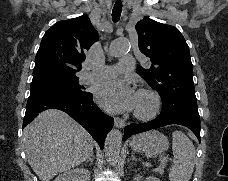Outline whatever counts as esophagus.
<instances>
[{
  "mask_svg": "<svg viewBox=\"0 0 228 181\" xmlns=\"http://www.w3.org/2000/svg\"><path fill=\"white\" fill-rule=\"evenodd\" d=\"M114 123L117 128H124L125 126V121L122 118H115Z\"/></svg>",
  "mask_w": 228,
  "mask_h": 181,
  "instance_id": "esophagus-1",
  "label": "esophagus"
}]
</instances>
